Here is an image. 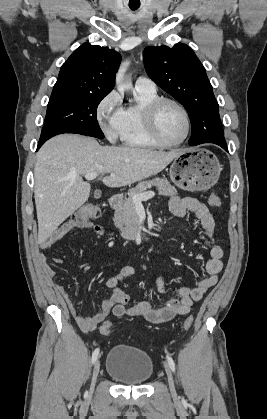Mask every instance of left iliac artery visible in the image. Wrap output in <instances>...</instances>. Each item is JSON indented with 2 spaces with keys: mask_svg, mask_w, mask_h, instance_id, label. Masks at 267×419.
Listing matches in <instances>:
<instances>
[{
  "mask_svg": "<svg viewBox=\"0 0 267 419\" xmlns=\"http://www.w3.org/2000/svg\"><path fill=\"white\" fill-rule=\"evenodd\" d=\"M167 361H168V364H169L171 370L173 372H175V363H174L173 359L168 355H167Z\"/></svg>",
  "mask_w": 267,
  "mask_h": 419,
  "instance_id": "44dca946",
  "label": "left iliac artery"
}]
</instances>
